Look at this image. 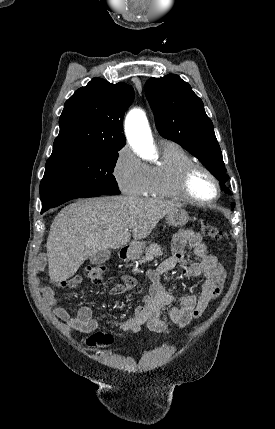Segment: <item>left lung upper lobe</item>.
Masks as SVG:
<instances>
[{
  "instance_id": "1",
  "label": "left lung upper lobe",
  "mask_w": 275,
  "mask_h": 429,
  "mask_svg": "<svg viewBox=\"0 0 275 429\" xmlns=\"http://www.w3.org/2000/svg\"><path fill=\"white\" fill-rule=\"evenodd\" d=\"M146 97L155 116L160 135L180 144L220 181L222 190L229 179L211 119L202 100L191 86L176 74L150 78L145 85Z\"/></svg>"
}]
</instances>
